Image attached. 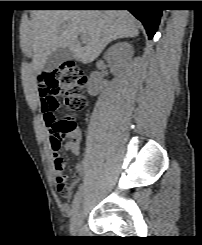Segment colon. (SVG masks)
I'll use <instances>...</instances> for the list:
<instances>
[{
  "mask_svg": "<svg viewBox=\"0 0 202 245\" xmlns=\"http://www.w3.org/2000/svg\"><path fill=\"white\" fill-rule=\"evenodd\" d=\"M86 80L82 69L73 62H63L58 67L45 71L39 78V84L56 94L67 109L65 118L58 120L54 113L56 106L46 98L40 99L48 137L55 149L61 147L62 134L75 126L74 117L86 107L83 94Z\"/></svg>",
  "mask_w": 202,
  "mask_h": 245,
  "instance_id": "5ec220e1",
  "label": "colon"
}]
</instances>
